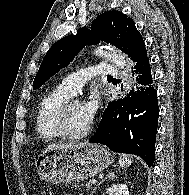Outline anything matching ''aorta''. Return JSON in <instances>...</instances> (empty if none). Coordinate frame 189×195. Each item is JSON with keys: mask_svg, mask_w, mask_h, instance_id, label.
I'll return each mask as SVG.
<instances>
[{"mask_svg": "<svg viewBox=\"0 0 189 195\" xmlns=\"http://www.w3.org/2000/svg\"><path fill=\"white\" fill-rule=\"evenodd\" d=\"M95 54L98 55H105L112 59V61L117 65L120 66L121 69H124V72L126 71V60L125 56L116 48L114 47H100L95 50Z\"/></svg>", "mask_w": 189, "mask_h": 195, "instance_id": "aorta-1", "label": "aorta"}]
</instances>
